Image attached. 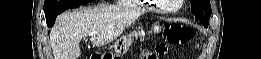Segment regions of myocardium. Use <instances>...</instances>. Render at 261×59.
<instances>
[{"instance_id": "1", "label": "myocardium", "mask_w": 261, "mask_h": 59, "mask_svg": "<svg viewBox=\"0 0 261 59\" xmlns=\"http://www.w3.org/2000/svg\"><path fill=\"white\" fill-rule=\"evenodd\" d=\"M153 2L156 3L157 6L159 7V5H160L159 1H153ZM179 3H180V5L176 9H169V8H159V9L164 11V12H174V11H177L178 9H180L182 7L183 0H180Z\"/></svg>"}]
</instances>
